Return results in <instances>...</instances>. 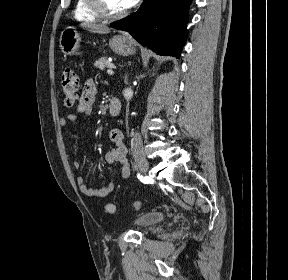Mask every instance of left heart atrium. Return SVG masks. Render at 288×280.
Returning a JSON list of instances; mask_svg holds the SVG:
<instances>
[{"instance_id":"obj_1","label":"left heart atrium","mask_w":288,"mask_h":280,"mask_svg":"<svg viewBox=\"0 0 288 280\" xmlns=\"http://www.w3.org/2000/svg\"><path fill=\"white\" fill-rule=\"evenodd\" d=\"M138 0H120L123 9L132 7Z\"/></svg>"}]
</instances>
